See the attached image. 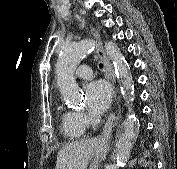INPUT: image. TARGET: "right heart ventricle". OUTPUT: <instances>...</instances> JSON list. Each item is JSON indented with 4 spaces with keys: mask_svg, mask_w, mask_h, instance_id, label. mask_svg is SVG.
<instances>
[{
    "mask_svg": "<svg viewBox=\"0 0 177 169\" xmlns=\"http://www.w3.org/2000/svg\"><path fill=\"white\" fill-rule=\"evenodd\" d=\"M60 128L67 139L75 140L84 135L83 127L78 123L76 113L70 110H63L61 112Z\"/></svg>",
    "mask_w": 177,
    "mask_h": 169,
    "instance_id": "e07e8e85",
    "label": "right heart ventricle"
}]
</instances>
